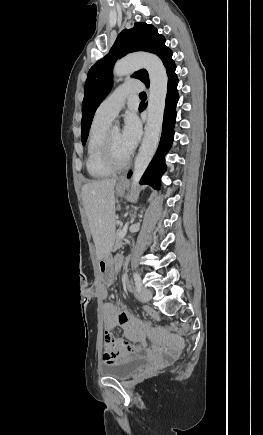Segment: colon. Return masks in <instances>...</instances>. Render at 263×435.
Returning a JSON list of instances; mask_svg holds the SVG:
<instances>
[{
	"label": "colon",
	"instance_id": "1",
	"mask_svg": "<svg viewBox=\"0 0 263 435\" xmlns=\"http://www.w3.org/2000/svg\"><path fill=\"white\" fill-rule=\"evenodd\" d=\"M96 291L100 292V294L102 296L105 295L104 291L99 287L96 286L94 288ZM167 332H175L177 335H184L186 332L180 327H175L173 324H164L162 326ZM102 343H101V348L102 350H112L113 348V343H114V339L115 336L113 334V332H104L102 334ZM140 341H144V339H141ZM135 343H137L138 341L134 340Z\"/></svg>",
	"mask_w": 263,
	"mask_h": 435
}]
</instances>
